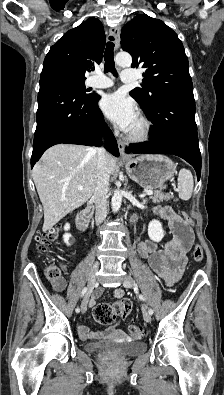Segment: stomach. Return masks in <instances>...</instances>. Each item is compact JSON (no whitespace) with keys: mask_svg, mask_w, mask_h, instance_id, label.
<instances>
[{"mask_svg":"<svg viewBox=\"0 0 224 395\" xmlns=\"http://www.w3.org/2000/svg\"><path fill=\"white\" fill-rule=\"evenodd\" d=\"M129 177L145 189L162 190L176 173V166L162 155H141L125 163Z\"/></svg>","mask_w":224,"mask_h":395,"instance_id":"stomach-1","label":"stomach"}]
</instances>
